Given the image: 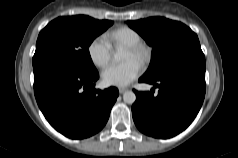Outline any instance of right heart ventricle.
I'll list each match as a JSON object with an SVG mask.
<instances>
[{
	"label": "right heart ventricle",
	"instance_id": "right-heart-ventricle-1",
	"mask_svg": "<svg viewBox=\"0 0 238 158\" xmlns=\"http://www.w3.org/2000/svg\"><path fill=\"white\" fill-rule=\"evenodd\" d=\"M107 40L114 46H130L141 43L140 34L133 28L122 26L109 31L106 34Z\"/></svg>",
	"mask_w": 238,
	"mask_h": 158
}]
</instances>
